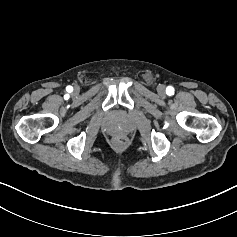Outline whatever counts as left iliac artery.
<instances>
[{"mask_svg":"<svg viewBox=\"0 0 237 237\" xmlns=\"http://www.w3.org/2000/svg\"><path fill=\"white\" fill-rule=\"evenodd\" d=\"M166 93H167V95H169V96L173 95V94H174V88H173L172 86H168V87L166 88Z\"/></svg>","mask_w":237,"mask_h":237,"instance_id":"1","label":"left iliac artery"}]
</instances>
